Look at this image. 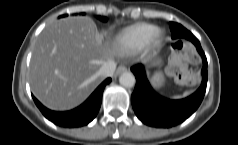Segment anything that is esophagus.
Returning a JSON list of instances; mask_svg holds the SVG:
<instances>
[{
    "mask_svg": "<svg viewBox=\"0 0 238 145\" xmlns=\"http://www.w3.org/2000/svg\"><path fill=\"white\" fill-rule=\"evenodd\" d=\"M127 71V68L125 66H119L116 70V75H120L122 74L123 72Z\"/></svg>",
    "mask_w": 238,
    "mask_h": 145,
    "instance_id": "esophagus-1",
    "label": "esophagus"
}]
</instances>
